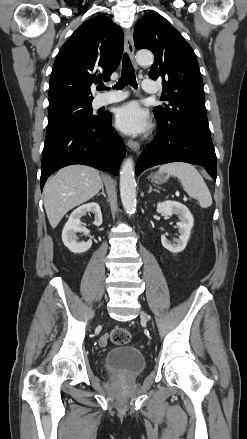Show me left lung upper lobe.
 I'll return each instance as SVG.
<instances>
[{"instance_id":"left-lung-upper-lobe-1","label":"left lung upper lobe","mask_w":247,"mask_h":439,"mask_svg":"<svg viewBox=\"0 0 247 439\" xmlns=\"http://www.w3.org/2000/svg\"><path fill=\"white\" fill-rule=\"evenodd\" d=\"M134 42L155 55L149 76L162 81V100L169 102L153 110L158 125H190L210 134L198 61L182 35L160 14H148L136 23Z\"/></svg>"}]
</instances>
